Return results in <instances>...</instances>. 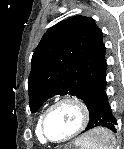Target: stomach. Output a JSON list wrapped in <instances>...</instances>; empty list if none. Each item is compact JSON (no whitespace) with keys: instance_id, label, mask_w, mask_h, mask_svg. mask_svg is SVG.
<instances>
[{"instance_id":"1","label":"stomach","mask_w":124,"mask_h":149,"mask_svg":"<svg viewBox=\"0 0 124 149\" xmlns=\"http://www.w3.org/2000/svg\"><path fill=\"white\" fill-rule=\"evenodd\" d=\"M98 131L99 129L92 130L91 132L87 133L79 140H77L73 145H70L67 149H83V142L88 138L96 136Z\"/></svg>"}]
</instances>
